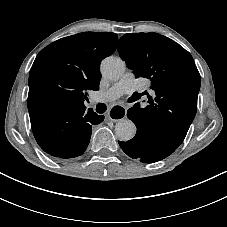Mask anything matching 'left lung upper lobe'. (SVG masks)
I'll return each mask as SVG.
<instances>
[{
	"label": "left lung upper lobe",
	"instance_id": "left-lung-upper-lobe-1",
	"mask_svg": "<svg viewBox=\"0 0 227 227\" xmlns=\"http://www.w3.org/2000/svg\"><path fill=\"white\" fill-rule=\"evenodd\" d=\"M118 51L137 78L150 79L156 93L155 103L151 98L145 108L139 103L132 108H141L143 125L159 139L179 146L195 117L201 84L191 54L157 33L125 34Z\"/></svg>",
	"mask_w": 227,
	"mask_h": 227
}]
</instances>
